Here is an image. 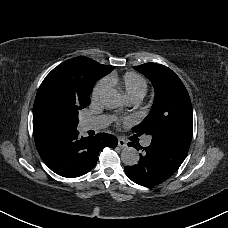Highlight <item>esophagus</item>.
I'll use <instances>...</instances> for the list:
<instances>
[{"label": "esophagus", "mask_w": 228, "mask_h": 228, "mask_svg": "<svg viewBox=\"0 0 228 228\" xmlns=\"http://www.w3.org/2000/svg\"><path fill=\"white\" fill-rule=\"evenodd\" d=\"M118 146L121 148L127 147V142L123 138L118 139Z\"/></svg>", "instance_id": "esophagus-1"}]
</instances>
